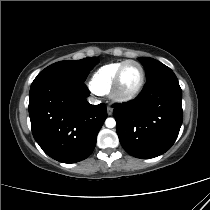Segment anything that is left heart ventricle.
Listing matches in <instances>:
<instances>
[{"label":"left heart ventricle","mask_w":210,"mask_h":210,"mask_svg":"<svg viewBox=\"0 0 210 210\" xmlns=\"http://www.w3.org/2000/svg\"><path fill=\"white\" fill-rule=\"evenodd\" d=\"M140 79V69L136 64H128L121 76V90L130 91L132 90L139 82Z\"/></svg>","instance_id":"1"}]
</instances>
